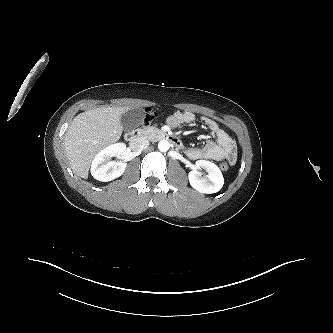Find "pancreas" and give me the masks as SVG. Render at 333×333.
Listing matches in <instances>:
<instances>
[{"mask_svg":"<svg viewBox=\"0 0 333 333\" xmlns=\"http://www.w3.org/2000/svg\"><path fill=\"white\" fill-rule=\"evenodd\" d=\"M154 132H158V129L156 127H147L143 130V133L147 137L149 136V134L154 133Z\"/></svg>","mask_w":333,"mask_h":333,"instance_id":"cf45deb5","label":"pancreas"}]
</instances>
